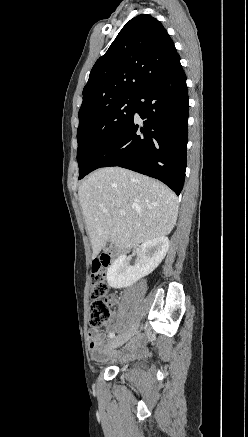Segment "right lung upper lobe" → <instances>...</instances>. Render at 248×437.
I'll use <instances>...</instances> for the list:
<instances>
[{
    "label": "right lung upper lobe",
    "mask_w": 248,
    "mask_h": 437,
    "mask_svg": "<svg viewBox=\"0 0 248 437\" xmlns=\"http://www.w3.org/2000/svg\"><path fill=\"white\" fill-rule=\"evenodd\" d=\"M176 55L172 39L157 19L141 14L128 21L90 72L79 123L113 102L135 97Z\"/></svg>",
    "instance_id": "obj_1"
}]
</instances>
